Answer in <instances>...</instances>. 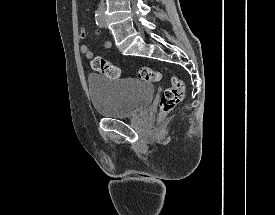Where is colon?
<instances>
[{
    "label": "colon",
    "instance_id": "colon-1",
    "mask_svg": "<svg viewBox=\"0 0 275 215\" xmlns=\"http://www.w3.org/2000/svg\"><path fill=\"white\" fill-rule=\"evenodd\" d=\"M91 68L109 79H116L120 76V68L102 57H94L91 60ZM141 80L157 82L161 79L158 70L151 67H141L138 71ZM185 84L182 80L173 78L171 84L166 88L160 97L159 110L162 116L174 109L183 99Z\"/></svg>",
    "mask_w": 275,
    "mask_h": 215
}]
</instances>
